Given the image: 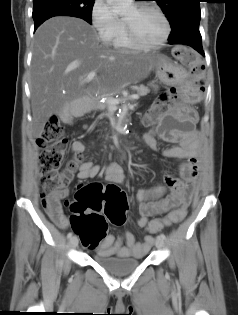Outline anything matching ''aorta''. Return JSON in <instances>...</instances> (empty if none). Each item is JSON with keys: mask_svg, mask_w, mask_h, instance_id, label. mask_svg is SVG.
Wrapping results in <instances>:
<instances>
[{"mask_svg": "<svg viewBox=\"0 0 238 315\" xmlns=\"http://www.w3.org/2000/svg\"><path fill=\"white\" fill-rule=\"evenodd\" d=\"M111 5L112 11L117 14H126L132 10V0H107Z\"/></svg>", "mask_w": 238, "mask_h": 315, "instance_id": "aorta-1", "label": "aorta"}]
</instances>
